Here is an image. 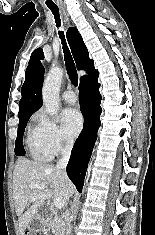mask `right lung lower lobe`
<instances>
[{
    "label": "right lung lower lobe",
    "mask_w": 155,
    "mask_h": 235,
    "mask_svg": "<svg viewBox=\"0 0 155 235\" xmlns=\"http://www.w3.org/2000/svg\"><path fill=\"white\" fill-rule=\"evenodd\" d=\"M98 74L80 82V110L84 115V127L78 136L67 165V174L75 184L78 192L82 191L85 173L97 139V131L101 125Z\"/></svg>",
    "instance_id": "right-lung-lower-lobe-1"
}]
</instances>
